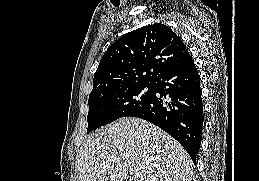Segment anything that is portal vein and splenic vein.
Instances as JSON below:
<instances>
[{"label":"portal vein and splenic vein","instance_id":"obj_1","mask_svg":"<svg viewBox=\"0 0 259 181\" xmlns=\"http://www.w3.org/2000/svg\"><path fill=\"white\" fill-rule=\"evenodd\" d=\"M130 174H134V173H136V169H134V168H132V169H130Z\"/></svg>","mask_w":259,"mask_h":181}]
</instances>
